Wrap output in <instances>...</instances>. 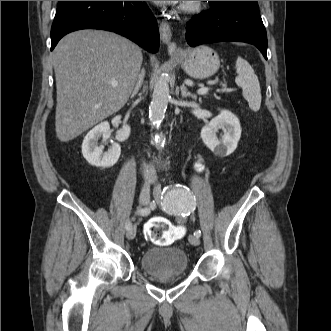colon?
I'll return each instance as SVG.
<instances>
[{"label":"colon","instance_id":"colon-1","mask_svg":"<svg viewBox=\"0 0 331 331\" xmlns=\"http://www.w3.org/2000/svg\"><path fill=\"white\" fill-rule=\"evenodd\" d=\"M182 226H175L163 217L150 219L145 226V236L153 244L166 246L184 236Z\"/></svg>","mask_w":331,"mask_h":331}]
</instances>
